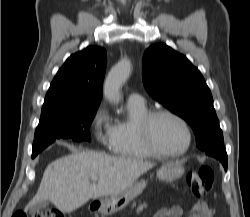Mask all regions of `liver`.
Segmentation results:
<instances>
[{
  "label": "liver",
  "instance_id": "6515ba94",
  "mask_svg": "<svg viewBox=\"0 0 250 217\" xmlns=\"http://www.w3.org/2000/svg\"><path fill=\"white\" fill-rule=\"evenodd\" d=\"M142 159L112 157L93 151L76 152L49 164L34 198L26 206L50 201L62 212H72L90 199L122 192L151 169ZM97 178V183L90 179Z\"/></svg>",
  "mask_w": 250,
  "mask_h": 217
}]
</instances>
